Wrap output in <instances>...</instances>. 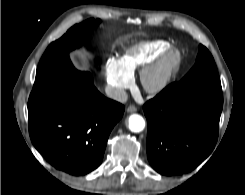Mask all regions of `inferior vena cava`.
Segmentation results:
<instances>
[{"mask_svg": "<svg viewBox=\"0 0 245 195\" xmlns=\"http://www.w3.org/2000/svg\"><path fill=\"white\" fill-rule=\"evenodd\" d=\"M105 92L109 98L116 100L118 102H121V103H125L128 99V95H127L126 91L124 89H121V88L106 86Z\"/></svg>", "mask_w": 245, "mask_h": 195, "instance_id": "inferior-vena-cava-1", "label": "inferior vena cava"}]
</instances>
